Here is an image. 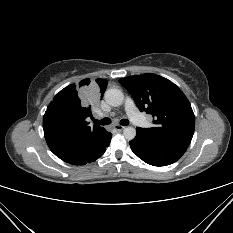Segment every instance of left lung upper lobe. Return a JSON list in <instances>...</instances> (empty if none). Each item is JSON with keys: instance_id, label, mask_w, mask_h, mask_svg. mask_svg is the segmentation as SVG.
<instances>
[{"instance_id": "1", "label": "left lung upper lobe", "mask_w": 233, "mask_h": 233, "mask_svg": "<svg viewBox=\"0 0 233 233\" xmlns=\"http://www.w3.org/2000/svg\"><path fill=\"white\" fill-rule=\"evenodd\" d=\"M119 82L130 92L139 110L154 118V127H138V130L160 144L188 148L195 117L188 99L177 85L152 73L122 78Z\"/></svg>"}]
</instances>
